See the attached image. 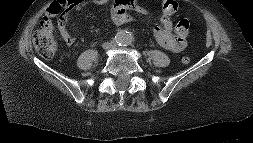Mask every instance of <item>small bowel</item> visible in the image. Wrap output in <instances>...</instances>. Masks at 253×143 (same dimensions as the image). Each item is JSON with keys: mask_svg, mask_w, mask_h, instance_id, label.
Segmentation results:
<instances>
[{"mask_svg": "<svg viewBox=\"0 0 253 143\" xmlns=\"http://www.w3.org/2000/svg\"><path fill=\"white\" fill-rule=\"evenodd\" d=\"M109 2H111L110 19L116 26L129 23L133 20V16L129 11H134L138 14L149 13L148 9L138 0H82L73 10L78 11L88 4L105 5ZM174 4L175 2L173 0L162 1V13L159 17L158 24L154 27L153 34L157 43L164 49L172 53H179L185 49L187 42L186 37L173 33L170 16L177 10L173 9ZM68 14L69 10H65L57 15V28L65 43L67 45H73L75 39L67 24Z\"/></svg>", "mask_w": 253, "mask_h": 143, "instance_id": "1", "label": "small bowel"}]
</instances>
